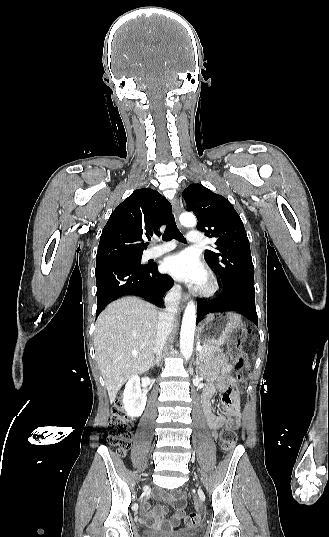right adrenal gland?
<instances>
[{
    "label": "right adrenal gland",
    "mask_w": 329,
    "mask_h": 537,
    "mask_svg": "<svg viewBox=\"0 0 329 537\" xmlns=\"http://www.w3.org/2000/svg\"><path fill=\"white\" fill-rule=\"evenodd\" d=\"M159 363H160V357L156 358L152 364H151V367H154L155 365L159 366Z\"/></svg>",
    "instance_id": "1"
}]
</instances>
